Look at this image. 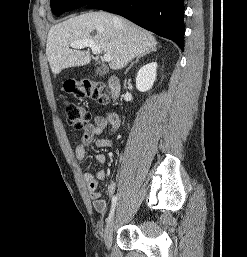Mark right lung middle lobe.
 <instances>
[{
	"instance_id": "right-lung-middle-lobe-1",
	"label": "right lung middle lobe",
	"mask_w": 247,
	"mask_h": 257,
	"mask_svg": "<svg viewBox=\"0 0 247 257\" xmlns=\"http://www.w3.org/2000/svg\"><path fill=\"white\" fill-rule=\"evenodd\" d=\"M94 0H50L52 11L59 16L66 11H70L93 2Z\"/></svg>"
}]
</instances>
